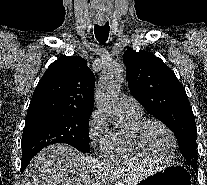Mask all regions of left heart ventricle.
<instances>
[{"mask_svg": "<svg viewBox=\"0 0 207 185\" xmlns=\"http://www.w3.org/2000/svg\"><path fill=\"white\" fill-rule=\"evenodd\" d=\"M144 143L148 152L156 159H167L173 151V143L165 129L150 124L144 132Z\"/></svg>", "mask_w": 207, "mask_h": 185, "instance_id": "1", "label": "left heart ventricle"}]
</instances>
